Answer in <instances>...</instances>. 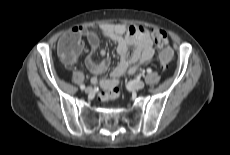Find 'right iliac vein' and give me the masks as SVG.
Listing matches in <instances>:
<instances>
[{
  "instance_id": "obj_1",
  "label": "right iliac vein",
  "mask_w": 230,
  "mask_h": 155,
  "mask_svg": "<svg viewBox=\"0 0 230 155\" xmlns=\"http://www.w3.org/2000/svg\"><path fill=\"white\" fill-rule=\"evenodd\" d=\"M93 91V88L92 87H87L85 88V92L86 93H91Z\"/></svg>"
}]
</instances>
